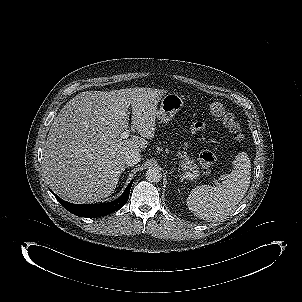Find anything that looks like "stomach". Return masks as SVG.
<instances>
[{
	"label": "stomach",
	"mask_w": 302,
	"mask_h": 302,
	"mask_svg": "<svg viewBox=\"0 0 302 302\" xmlns=\"http://www.w3.org/2000/svg\"><path fill=\"white\" fill-rule=\"evenodd\" d=\"M184 105L183 98L177 93H167L162 99L159 110L156 112V117L164 123H167L171 118L181 110Z\"/></svg>",
	"instance_id": "stomach-1"
}]
</instances>
